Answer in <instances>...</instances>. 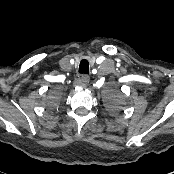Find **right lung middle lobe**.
<instances>
[{"label": "right lung middle lobe", "instance_id": "obj_1", "mask_svg": "<svg viewBox=\"0 0 174 174\" xmlns=\"http://www.w3.org/2000/svg\"><path fill=\"white\" fill-rule=\"evenodd\" d=\"M58 101H59L58 98H50L48 101V106L55 107L57 105Z\"/></svg>", "mask_w": 174, "mask_h": 174}]
</instances>
